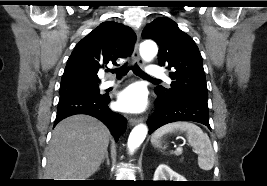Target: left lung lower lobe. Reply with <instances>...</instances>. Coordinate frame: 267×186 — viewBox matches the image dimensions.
Masks as SVG:
<instances>
[{
  "instance_id": "0a47b994",
  "label": "left lung lower lobe",
  "mask_w": 267,
  "mask_h": 186,
  "mask_svg": "<svg viewBox=\"0 0 267 186\" xmlns=\"http://www.w3.org/2000/svg\"><path fill=\"white\" fill-rule=\"evenodd\" d=\"M176 121H193L211 129L207 101L181 96H158L156 111L147 122L149 134L165 124Z\"/></svg>"
}]
</instances>
